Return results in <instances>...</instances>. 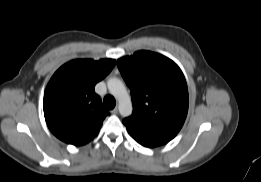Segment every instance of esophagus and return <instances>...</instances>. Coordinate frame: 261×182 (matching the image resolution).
Segmentation results:
<instances>
[{
    "label": "esophagus",
    "mask_w": 261,
    "mask_h": 182,
    "mask_svg": "<svg viewBox=\"0 0 261 182\" xmlns=\"http://www.w3.org/2000/svg\"><path fill=\"white\" fill-rule=\"evenodd\" d=\"M111 113H112L113 115L117 114V113H118V109H117V107L114 108L113 110H111Z\"/></svg>",
    "instance_id": "34e87169"
}]
</instances>
